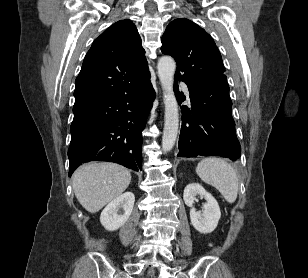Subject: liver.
Segmentation results:
<instances>
[{"label":"liver","mask_w":308,"mask_h":278,"mask_svg":"<svg viewBox=\"0 0 308 278\" xmlns=\"http://www.w3.org/2000/svg\"><path fill=\"white\" fill-rule=\"evenodd\" d=\"M131 182L129 170L109 162L80 166L72 176V187L79 203L96 213L122 195Z\"/></svg>","instance_id":"1"}]
</instances>
